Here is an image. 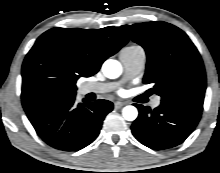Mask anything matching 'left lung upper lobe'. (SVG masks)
<instances>
[{
    "instance_id": "obj_1",
    "label": "left lung upper lobe",
    "mask_w": 220,
    "mask_h": 173,
    "mask_svg": "<svg viewBox=\"0 0 220 173\" xmlns=\"http://www.w3.org/2000/svg\"><path fill=\"white\" fill-rule=\"evenodd\" d=\"M120 30L145 49L143 82L154 85L162 102L203 110L204 65L197 48L181 29L157 21L123 25Z\"/></svg>"
}]
</instances>
